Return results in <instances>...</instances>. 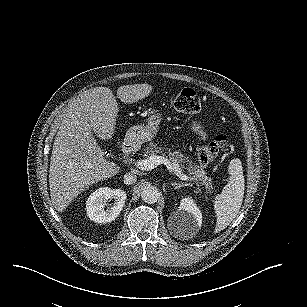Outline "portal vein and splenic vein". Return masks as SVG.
I'll list each match as a JSON object with an SVG mask.
<instances>
[{
  "label": "portal vein and splenic vein",
  "instance_id": "1",
  "mask_svg": "<svg viewBox=\"0 0 307 307\" xmlns=\"http://www.w3.org/2000/svg\"><path fill=\"white\" fill-rule=\"evenodd\" d=\"M160 164L165 165L170 173L178 176L181 180L186 179V177L181 174V170L178 164L171 163L167 157L161 155L152 154L147 159L142 160L137 166L141 170H152Z\"/></svg>",
  "mask_w": 307,
  "mask_h": 307
}]
</instances>
